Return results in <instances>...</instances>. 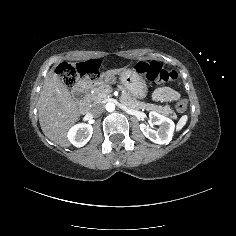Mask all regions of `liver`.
Wrapping results in <instances>:
<instances>
[{
    "label": "liver",
    "instance_id": "obj_1",
    "mask_svg": "<svg viewBox=\"0 0 236 236\" xmlns=\"http://www.w3.org/2000/svg\"><path fill=\"white\" fill-rule=\"evenodd\" d=\"M124 69L126 67L107 70L104 75L114 76ZM37 108L44 135L62 147H69L67 132L79 120L81 113L78 103L72 99L68 88L54 73V68L45 77Z\"/></svg>",
    "mask_w": 236,
    "mask_h": 236
}]
</instances>
